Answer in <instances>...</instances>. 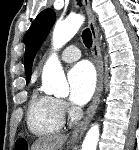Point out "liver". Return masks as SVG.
<instances>
[{
    "label": "liver",
    "mask_w": 139,
    "mask_h": 150,
    "mask_svg": "<svg viewBox=\"0 0 139 150\" xmlns=\"http://www.w3.org/2000/svg\"><path fill=\"white\" fill-rule=\"evenodd\" d=\"M67 136L54 134L38 138L31 147V150H60L66 141Z\"/></svg>",
    "instance_id": "obj_1"
}]
</instances>
